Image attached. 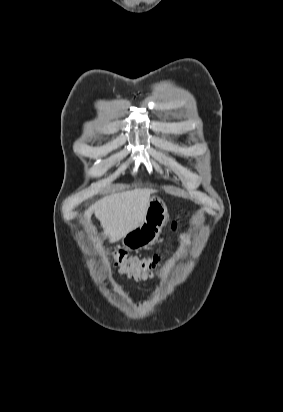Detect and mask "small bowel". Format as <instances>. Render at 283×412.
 Wrapping results in <instances>:
<instances>
[{
  "instance_id": "c3829d8e",
  "label": "small bowel",
  "mask_w": 283,
  "mask_h": 412,
  "mask_svg": "<svg viewBox=\"0 0 283 412\" xmlns=\"http://www.w3.org/2000/svg\"><path fill=\"white\" fill-rule=\"evenodd\" d=\"M145 304H146L145 301H141V302L139 303V307H143Z\"/></svg>"
}]
</instances>
